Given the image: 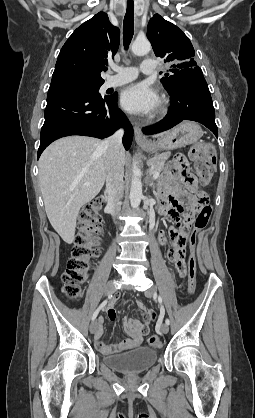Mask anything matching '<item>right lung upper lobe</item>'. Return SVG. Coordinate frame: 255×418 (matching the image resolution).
<instances>
[{"instance_id": "obj_1", "label": "right lung upper lobe", "mask_w": 255, "mask_h": 418, "mask_svg": "<svg viewBox=\"0 0 255 418\" xmlns=\"http://www.w3.org/2000/svg\"><path fill=\"white\" fill-rule=\"evenodd\" d=\"M120 31L99 12L79 26L60 50L50 88L76 83H104L100 72L119 47Z\"/></svg>"}]
</instances>
